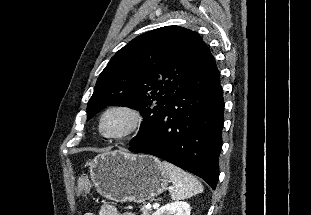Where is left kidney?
Instances as JSON below:
<instances>
[{"label": "left kidney", "instance_id": "obj_1", "mask_svg": "<svg viewBox=\"0 0 311 215\" xmlns=\"http://www.w3.org/2000/svg\"><path fill=\"white\" fill-rule=\"evenodd\" d=\"M191 208L187 202L177 201L157 209L153 215H190Z\"/></svg>", "mask_w": 311, "mask_h": 215}]
</instances>
